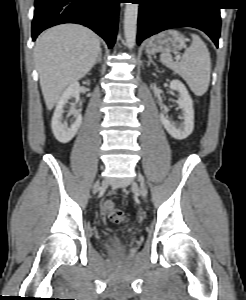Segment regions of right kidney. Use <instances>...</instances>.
<instances>
[{
	"label": "right kidney",
	"instance_id": "ca27d5eb",
	"mask_svg": "<svg viewBox=\"0 0 246 300\" xmlns=\"http://www.w3.org/2000/svg\"><path fill=\"white\" fill-rule=\"evenodd\" d=\"M87 84H89V81L87 82ZM79 93L80 84L77 81L71 83L61 95L52 117V132L55 138L59 142L64 144L71 141L76 135L82 123V115L76 110L74 106H72L68 114L74 115L76 120L70 125V127H68L66 123H62V115L64 113L63 107L71 97L79 98Z\"/></svg>",
	"mask_w": 246,
	"mask_h": 300
}]
</instances>
